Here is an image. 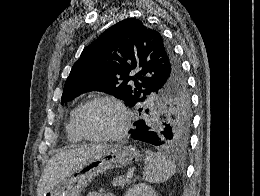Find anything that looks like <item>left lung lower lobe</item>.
Masks as SVG:
<instances>
[{
	"mask_svg": "<svg viewBox=\"0 0 260 196\" xmlns=\"http://www.w3.org/2000/svg\"><path fill=\"white\" fill-rule=\"evenodd\" d=\"M134 125L135 128L129 131V134L132 136V138L153 144L155 146H159L161 144L159 134L151 131L145 121L139 120L135 122Z\"/></svg>",
	"mask_w": 260,
	"mask_h": 196,
	"instance_id": "0a47b994",
	"label": "left lung lower lobe"
}]
</instances>
